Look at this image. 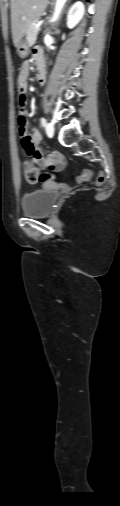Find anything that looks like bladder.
I'll return each instance as SVG.
<instances>
[{"label": "bladder", "mask_w": 120, "mask_h": 506, "mask_svg": "<svg viewBox=\"0 0 120 506\" xmlns=\"http://www.w3.org/2000/svg\"><path fill=\"white\" fill-rule=\"evenodd\" d=\"M57 195V191L52 188H42L25 193L21 200L22 213L29 217L48 216Z\"/></svg>", "instance_id": "31cf9c89"}]
</instances>
